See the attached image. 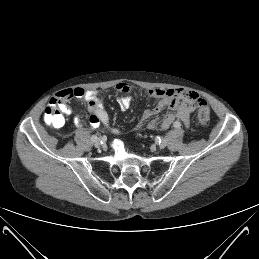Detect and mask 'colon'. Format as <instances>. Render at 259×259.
I'll return each mask as SVG.
<instances>
[{
  "mask_svg": "<svg viewBox=\"0 0 259 259\" xmlns=\"http://www.w3.org/2000/svg\"><path fill=\"white\" fill-rule=\"evenodd\" d=\"M198 105V121L201 125L205 126L208 124L210 119V110L205 100L198 97L196 99ZM61 101L52 100L44 111V121L48 125L59 127L63 124L64 118L60 107Z\"/></svg>",
  "mask_w": 259,
  "mask_h": 259,
  "instance_id": "5ec220e1",
  "label": "colon"
}]
</instances>
